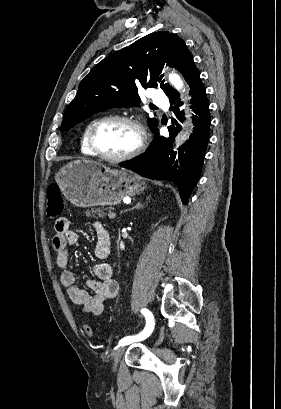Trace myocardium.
I'll use <instances>...</instances> for the list:
<instances>
[{
	"instance_id": "1",
	"label": "myocardium",
	"mask_w": 281,
	"mask_h": 409,
	"mask_svg": "<svg viewBox=\"0 0 281 409\" xmlns=\"http://www.w3.org/2000/svg\"><path fill=\"white\" fill-rule=\"evenodd\" d=\"M109 122H123L135 128V130L137 131L139 135V141H138V144L135 146V148H133L131 151L121 156H116V157L107 156L101 153L98 148V144H97V136H98V133L101 127ZM146 141H147V136H146V132L143 126L137 120L131 117H128V116H124V115H109V116H105L99 119L96 122L95 126L93 127L91 137H90L91 148L95 156L107 162H111V163L125 162V161L131 160L135 158L136 156L140 155L145 148Z\"/></svg>"
}]
</instances>
